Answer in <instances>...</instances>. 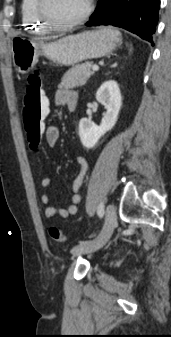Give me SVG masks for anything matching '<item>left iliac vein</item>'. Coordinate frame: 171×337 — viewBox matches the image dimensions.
I'll use <instances>...</instances> for the list:
<instances>
[{"label":"left iliac vein","mask_w":171,"mask_h":337,"mask_svg":"<svg viewBox=\"0 0 171 337\" xmlns=\"http://www.w3.org/2000/svg\"><path fill=\"white\" fill-rule=\"evenodd\" d=\"M117 223L115 207L110 204L107 206L105 214V223L99 235L92 241L81 243L72 249L74 256L92 253L101 249L110 239Z\"/></svg>","instance_id":"obj_1"}]
</instances>
